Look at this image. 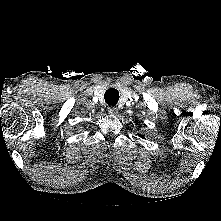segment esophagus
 <instances>
[{
    "label": "esophagus",
    "instance_id": "obj_1",
    "mask_svg": "<svg viewBox=\"0 0 221 221\" xmlns=\"http://www.w3.org/2000/svg\"><path fill=\"white\" fill-rule=\"evenodd\" d=\"M108 113H109L110 115H115V114L118 113V109H117L116 107H109V108H108Z\"/></svg>",
    "mask_w": 221,
    "mask_h": 221
}]
</instances>
